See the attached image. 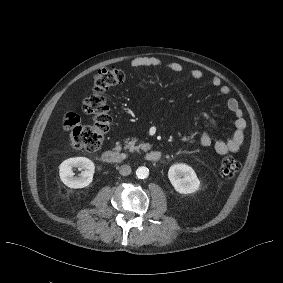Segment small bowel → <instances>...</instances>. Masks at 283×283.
Instances as JSON below:
<instances>
[{
  "instance_id": "small-bowel-1",
  "label": "small bowel",
  "mask_w": 283,
  "mask_h": 283,
  "mask_svg": "<svg viewBox=\"0 0 283 283\" xmlns=\"http://www.w3.org/2000/svg\"><path fill=\"white\" fill-rule=\"evenodd\" d=\"M130 66L132 68L140 67H166L174 73H181L183 71V65L178 62L164 63L160 58L155 56L139 57L131 61ZM190 75L193 79H201L203 73L199 69H192ZM210 83L218 87L221 85V80L218 76H211ZM220 94L226 99V106L228 110L234 115V129L231 136L228 139H218L214 144L215 151L220 155H225L228 153H236L239 151L246 130V121L243 118L242 111L236 99L230 97V90L227 86L220 87ZM204 118L213 126L217 127L215 120L207 113L203 114ZM199 143L203 147L211 145V138L208 133L203 132L200 135Z\"/></svg>"
}]
</instances>
